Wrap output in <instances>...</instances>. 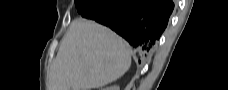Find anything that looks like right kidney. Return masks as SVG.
Instances as JSON below:
<instances>
[{
    "label": "right kidney",
    "instance_id": "ca27d5eb",
    "mask_svg": "<svg viewBox=\"0 0 228 90\" xmlns=\"http://www.w3.org/2000/svg\"><path fill=\"white\" fill-rule=\"evenodd\" d=\"M119 86H110L108 88H105V90H119Z\"/></svg>",
    "mask_w": 228,
    "mask_h": 90
}]
</instances>
